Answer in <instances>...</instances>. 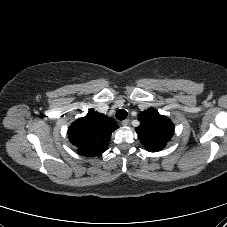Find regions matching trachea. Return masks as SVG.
<instances>
[{
  "label": "trachea",
  "instance_id": "obj_1",
  "mask_svg": "<svg viewBox=\"0 0 227 227\" xmlns=\"http://www.w3.org/2000/svg\"><path fill=\"white\" fill-rule=\"evenodd\" d=\"M128 113L126 110L124 109H119L117 112H116V118L118 120H124L126 117H127Z\"/></svg>",
  "mask_w": 227,
  "mask_h": 227
}]
</instances>
